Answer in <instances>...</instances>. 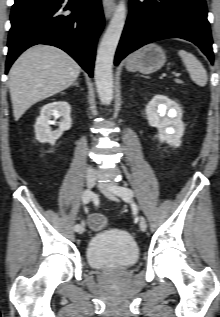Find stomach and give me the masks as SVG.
I'll list each match as a JSON object with an SVG mask.
<instances>
[{"mask_svg":"<svg viewBox=\"0 0 220 317\" xmlns=\"http://www.w3.org/2000/svg\"><path fill=\"white\" fill-rule=\"evenodd\" d=\"M166 62L164 50L155 43L147 44L135 51L127 60L126 68L130 72L139 71L150 74L159 70Z\"/></svg>","mask_w":220,"mask_h":317,"instance_id":"obj_1","label":"stomach"}]
</instances>
